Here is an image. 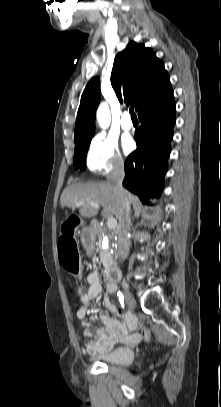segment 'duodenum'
<instances>
[{
  "label": "duodenum",
  "instance_id": "410a0bca",
  "mask_svg": "<svg viewBox=\"0 0 221 407\" xmlns=\"http://www.w3.org/2000/svg\"><path fill=\"white\" fill-rule=\"evenodd\" d=\"M106 277H107L108 281H110V282H113V283L118 282L120 279L119 269L114 266L108 268Z\"/></svg>",
  "mask_w": 221,
  "mask_h": 407
}]
</instances>
